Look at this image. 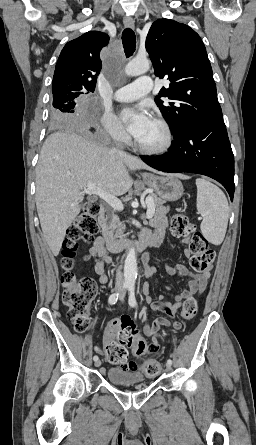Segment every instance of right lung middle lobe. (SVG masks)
I'll return each mask as SVG.
<instances>
[{
	"label": "right lung middle lobe",
	"mask_w": 256,
	"mask_h": 445,
	"mask_svg": "<svg viewBox=\"0 0 256 445\" xmlns=\"http://www.w3.org/2000/svg\"><path fill=\"white\" fill-rule=\"evenodd\" d=\"M83 95L77 92H62L53 94V105L50 110V120L54 126L73 124L77 118L76 101Z\"/></svg>",
	"instance_id": "right-lung-middle-lobe-1"
}]
</instances>
